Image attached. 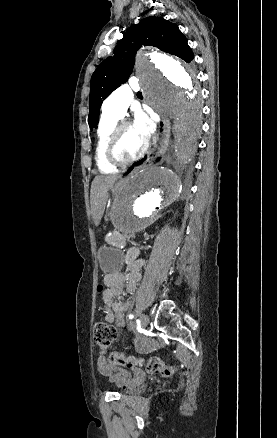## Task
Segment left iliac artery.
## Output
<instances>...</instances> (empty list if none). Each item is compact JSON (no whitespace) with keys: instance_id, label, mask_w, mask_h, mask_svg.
I'll return each instance as SVG.
<instances>
[{"instance_id":"44dca946","label":"left iliac artery","mask_w":277,"mask_h":438,"mask_svg":"<svg viewBox=\"0 0 277 438\" xmlns=\"http://www.w3.org/2000/svg\"><path fill=\"white\" fill-rule=\"evenodd\" d=\"M128 317H129V319H133V318H134V315H133V314H130Z\"/></svg>"}]
</instances>
